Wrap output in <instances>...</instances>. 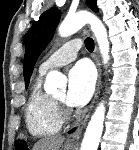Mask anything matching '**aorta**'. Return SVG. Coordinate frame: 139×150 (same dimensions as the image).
I'll use <instances>...</instances> for the list:
<instances>
[{
    "mask_svg": "<svg viewBox=\"0 0 139 150\" xmlns=\"http://www.w3.org/2000/svg\"><path fill=\"white\" fill-rule=\"evenodd\" d=\"M86 24L90 25V28L98 42L103 63L107 64L109 60V41L107 30L101 20L94 14L87 11H80L76 14L68 15L59 26L58 32L60 36L67 37L80 30ZM57 87H61L63 90H65L66 79L59 72L52 71L46 77L45 90L47 92H54ZM104 119L105 106L104 102H101L97 106L88 123L80 150L98 149L103 132Z\"/></svg>",
    "mask_w": 139,
    "mask_h": 150,
    "instance_id": "1",
    "label": "aorta"
}]
</instances>
